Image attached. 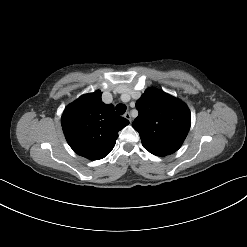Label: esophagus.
I'll return each mask as SVG.
<instances>
[{
  "label": "esophagus",
  "instance_id": "esophagus-1",
  "mask_svg": "<svg viewBox=\"0 0 247 247\" xmlns=\"http://www.w3.org/2000/svg\"><path fill=\"white\" fill-rule=\"evenodd\" d=\"M124 117H125L127 120H129V121L131 122V115H130L129 112H126V113L124 114Z\"/></svg>",
  "mask_w": 247,
  "mask_h": 247
}]
</instances>
